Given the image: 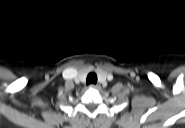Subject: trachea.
Masks as SVG:
<instances>
[{
  "instance_id": "trachea-1",
  "label": "trachea",
  "mask_w": 185,
  "mask_h": 128,
  "mask_svg": "<svg viewBox=\"0 0 185 128\" xmlns=\"http://www.w3.org/2000/svg\"><path fill=\"white\" fill-rule=\"evenodd\" d=\"M97 83V75L93 72L89 73L86 79V84H96Z\"/></svg>"
}]
</instances>
